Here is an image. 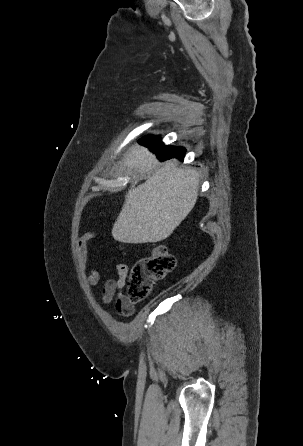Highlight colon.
<instances>
[{"instance_id":"1","label":"colon","mask_w":303,"mask_h":446,"mask_svg":"<svg viewBox=\"0 0 303 446\" xmlns=\"http://www.w3.org/2000/svg\"><path fill=\"white\" fill-rule=\"evenodd\" d=\"M175 264L174 256L163 245L155 246L149 256L137 260L128 274L127 302L133 305L146 299L154 283L173 271Z\"/></svg>"}]
</instances>
